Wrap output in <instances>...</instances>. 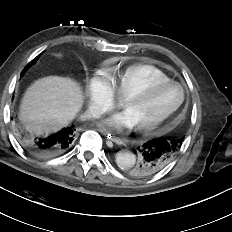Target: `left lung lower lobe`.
<instances>
[{
  "label": "left lung lower lobe",
  "mask_w": 232,
  "mask_h": 232,
  "mask_svg": "<svg viewBox=\"0 0 232 232\" xmlns=\"http://www.w3.org/2000/svg\"><path fill=\"white\" fill-rule=\"evenodd\" d=\"M182 141L181 139L159 137L145 142L138 148L139 162L133 166L131 176L142 178L162 170L172 161Z\"/></svg>",
  "instance_id": "0a47b994"
}]
</instances>
